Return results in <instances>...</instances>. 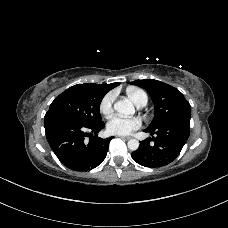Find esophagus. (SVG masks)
Wrapping results in <instances>:
<instances>
[{"label":"esophagus","instance_id":"obj_1","mask_svg":"<svg viewBox=\"0 0 228 228\" xmlns=\"http://www.w3.org/2000/svg\"><path fill=\"white\" fill-rule=\"evenodd\" d=\"M120 138H122V139H125V140H129V139H131V137L130 136H119Z\"/></svg>","mask_w":228,"mask_h":228}]
</instances>
